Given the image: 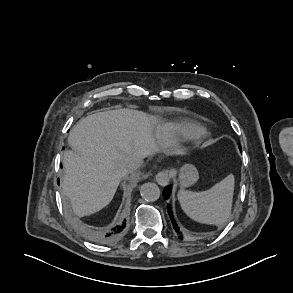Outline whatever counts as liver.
<instances>
[{"label": "liver", "mask_w": 293, "mask_h": 293, "mask_svg": "<svg viewBox=\"0 0 293 293\" xmlns=\"http://www.w3.org/2000/svg\"><path fill=\"white\" fill-rule=\"evenodd\" d=\"M156 122L141 111L119 109L95 113L76 123L68 137L72 151L63 155L62 188L77 216L107 206L129 172L128 164L159 151L153 135Z\"/></svg>", "instance_id": "1"}]
</instances>
